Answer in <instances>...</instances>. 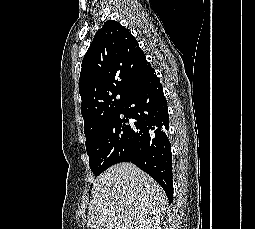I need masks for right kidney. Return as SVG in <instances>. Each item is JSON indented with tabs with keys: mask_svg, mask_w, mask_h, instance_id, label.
I'll list each match as a JSON object with an SVG mask.
<instances>
[{
	"mask_svg": "<svg viewBox=\"0 0 255 229\" xmlns=\"http://www.w3.org/2000/svg\"><path fill=\"white\" fill-rule=\"evenodd\" d=\"M137 229H161L160 215L156 214L153 217H148L143 220L137 227Z\"/></svg>",
	"mask_w": 255,
	"mask_h": 229,
	"instance_id": "obj_1",
	"label": "right kidney"
}]
</instances>
